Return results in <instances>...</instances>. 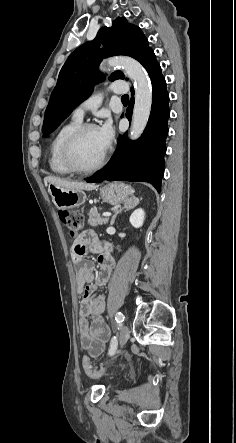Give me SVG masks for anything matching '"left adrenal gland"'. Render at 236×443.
I'll return each mask as SVG.
<instances>
[{"instance_id":"left-adrenal-gland-1","label":"left adrenal gland","mask_w":236,"mask_h":443,"mask_svg":"<svg viewBox=\"0 0 236 443\" xmlns=\"http://www.w3.org/2000/svg\"><path fill=\"white\" fill-rule=\"evenodd\" d=\"M125 209L128 210V205H127V204H125L123 208H120L119 210H117V211L115 212V214L113 215V217H112V219H111V221H110V225H111V226H113V224H114V222H115V219H116L117 215L120 214V213H122V211L125 210Z\"/></svg>"}]
</instances>
